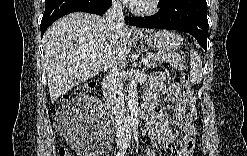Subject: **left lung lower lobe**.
<instances>
[{
    "label": "left lung lower lobe",
    "mask_w": 247,
    "mask_h": 156,
    "mask_svg": "<svg viewBox=\"0 0 247 156\" xmlns=\"http://www.w3.org/2000/svg\"><path fill=\"white\" fill-rule=\"evenodd\" d=\"M159 6L160 10L152 16L129 17L130 24L140 28H164L190 33L206 51V0H163Z\"/></svg>",
    "instance_id": "0a47b994"
}]
</instances>
